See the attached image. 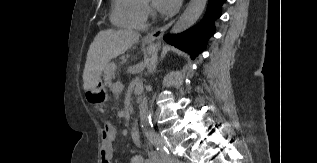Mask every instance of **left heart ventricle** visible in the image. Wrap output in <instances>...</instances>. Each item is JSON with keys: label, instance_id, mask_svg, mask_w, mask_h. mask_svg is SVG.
<instances>
[{"label": "left heart ventricle", "instance_id": "1", "mask_svg": "<svg viewBox=\"0 0 317 163\" xmlns=\"http://www.w3.org/2000/svg\"><path fill=\"white\" fill-rule=\"evenodd\" d=\"M148 1V3H153V0H147Z\"/></svg>", "mask_w": 317, "mask_h": 163}]
</instances>
